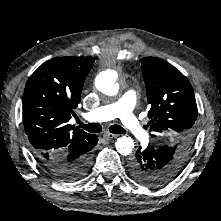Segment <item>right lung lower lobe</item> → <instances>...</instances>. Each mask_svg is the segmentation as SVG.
<instances>
[{"label": "right lung lower lobe", "mask_w": 221, "mask_h": 221, "mask_svg": "<svg viewBox=\"0 0 221 221\" xmlns=\"http://www.w3.org/2000/svg\"><path fill=\"white\" fill-rule=\"evenodd\" d=\"M98 138L94 135L89 146L84 151H70L62 158L60 156H39L35 154L40 165L53 177L64 180L73 181L84 176L90 166L91 157L90 150L97 144Z\"/></svg>", "instance_id": "obj_1"}]
</instances>
